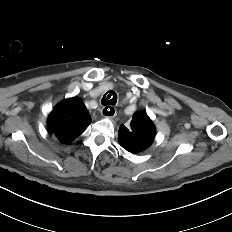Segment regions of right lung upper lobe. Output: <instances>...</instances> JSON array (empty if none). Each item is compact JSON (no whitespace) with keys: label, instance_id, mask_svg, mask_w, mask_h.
<instances>
[{"label":"right lung upper lobe","instance_id":"right-lung-upper-lobe-1","mask_svg":"<svg viewBox=\"0 0 232 232\" xmlns=\"http://www.w3.org/2000/svg\"><path fill=\"white\" fill-rule=\"evenodd\" d=\"M91 122V117L82 100L69 98L58 103L47 119L49 134L62 143H68L80 136Z\"/></svg>","mask_w":232,"mask_h":232}]
</instances>
